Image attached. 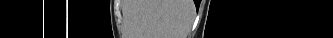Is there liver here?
<instances>
[{
	"label": "liver",
	"instance_id": "liver-1",
	"mask_svg": "<svg viewBox=\"0 0 333 38\" xmlns=\"http://www.w3.org/2000/svg\"><path fill=\"white\" fill-rule=\"evenodd\" d=\"M192 0H137L133 13L137 38H186L192 25Z\"/></svg>",
	"mask_w": 333,
	"mask_h": 38
}]
</instances>
